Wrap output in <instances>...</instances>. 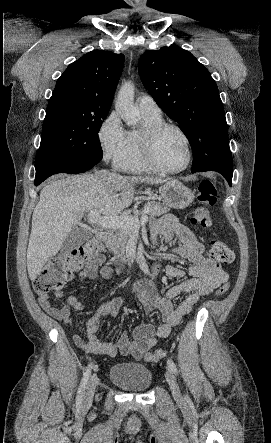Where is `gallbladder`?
<instances>
[{"label": "gallbladder", "instance_id": "1", "mask_svg": "<svg viewBox=\"0 0 271 443\" xmlns=\"http://www.w3.org/2000/svg\"><path fill=\"white\" fill-rule=\"evenodd\" d=\"M90 237H92V233H90V231H85V229H72V231H69L62 243V259L76 260L77 252L71 251V249H77L82 243L88 241Z\"/></svg>", "mask_w": 271, "mask_h": 443}]
</instances>
